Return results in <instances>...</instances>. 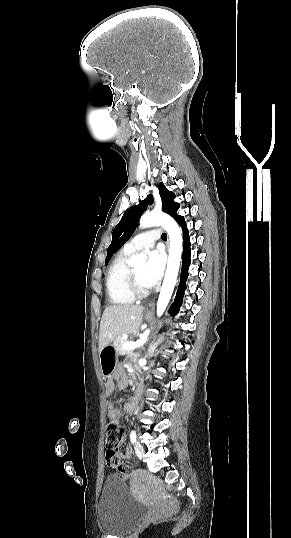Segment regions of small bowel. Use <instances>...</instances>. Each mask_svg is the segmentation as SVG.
I'll list each match as a JSON object with an SVG mask.
<instances>
[{
	"instance_id": "c3829d8e",
	"label": "small bowel",
	"mask_w": 291,
	"mask_h": 538,
	"mask_svg": "<svg viewBox=\"0 0 291 538\" xmlns=\"http://www.w3.org/2000/svg\"><path fill=\"white\" fill-rule=\"evenodd\" d=\"M114 378L116 379L119 388H125L126 387L127 380L125 378H123L119 372L115 373ZM105 387H106L105 392H106V395H108V396L113 394V392L115 391V384H114L113 380H111V379H109L106 382ZM133 408H134V400H132L131 403L129 404V409L132 410ZM107 412H108V416L110 418L118 419L119 416H120L119 410L114 406L113 403H108L107 404ZM122 442H123V440L119 443V445ZM118 456L121 457V458L127 459V458H129L131 456V452L129 450H126L123 453H119ZM110 467H112V466H110ZM112 468H114V467H112Z\"/></svg>"
}]
</instances>
